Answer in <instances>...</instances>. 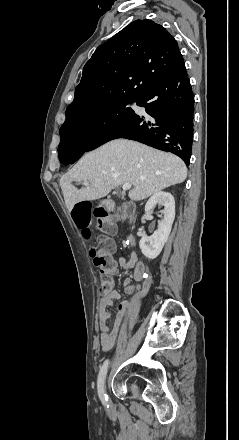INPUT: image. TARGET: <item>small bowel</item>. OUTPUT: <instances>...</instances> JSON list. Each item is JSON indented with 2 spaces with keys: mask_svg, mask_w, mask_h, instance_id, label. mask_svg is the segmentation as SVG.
I'll list each match as a JSON object with an SVG mask.
<instances>
[{
  "mask_svg": "<svg viewBox=\"0 0 239 440\" xmlns=\"http://www.w3.org/2000/svg\"><path fill=\"white\" fill-rule=\"evenodd\" d=\"M118 263L120 268L123 270L133 268L135 280H144L141 286L135 287L132 285V279L126 278L123 282L124 291L127 293L140 292L142 294H145L148 290V286L150 283V280L148 278L147 265L143 261L138 259V256L135 252L131 253L129 261H126L125 258L120 257ZM119 298L120 294L114 287V281L111 280L109 287L103 291V296L101 298L99 306L100 343L103 351H108L114 346L123 321L122 317L126 311V305L120 304L116 308L117 314L115 316L113 326L110 328L107 323L111 317V314L108 312L107 308L109 306H112L114 300ZM135 304L136 299L131 302V306L133 307L135 306Z\"/></svg>",
  "mask_w": 239,
  "mask_h": 440,
  "instance_id": "small-bowel-1",
  "label": "small bowel"
}]
</instances>
